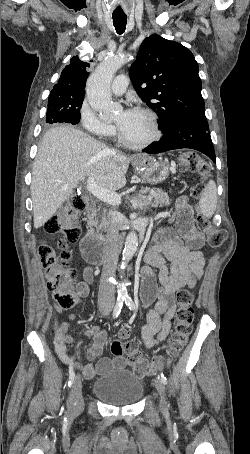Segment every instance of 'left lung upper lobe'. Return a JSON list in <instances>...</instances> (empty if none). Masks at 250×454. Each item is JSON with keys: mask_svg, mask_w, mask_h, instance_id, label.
Listing matches in <instances>:
<instances>
[{"mask_svg": "<svg viewBox=\"0 0 250 454\" xmlns=\"http://www.w3.org/2000/svg\"><path fill=\"white\" fill-rule=\"evenodd\" d=\"M198 72L193 54L180 43L159 35L142 42L129 75L162 131L184 116L205 113Z\"/></svg>", "mask_w": 250, "mask_h": 454, "instance_id": "left-lung-upper-lobe-1", "label": "left lung upper lobe"}]
</instances>
